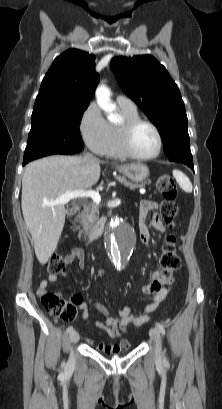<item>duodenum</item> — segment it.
<instances>
[{"label":"duodenum","instance_id":"410a0bca","mask_svg":"<svg viewBox=\"0 0 222 409\" xmlns=\"http://www.w3.org/2000/svg\"><path fill=\"white\" fill-rule=\"evenodd\" d=\"M79 210H80V206L78 205L71 208V212L73 214L77 213ZM104 227H105V221L102 220L99 223H97L89 236V241L90 242L95 241L103 233Z\"/></svg>","mask_w":222,"mask_h":409}]
</instances>
